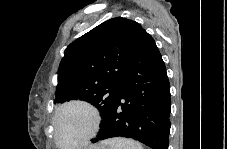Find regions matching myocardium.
<instances>
[{"mask_svg": "<svg viewBox=\"0 0 227 149\" xmlns=\"http://www.w3.org/2000/svg\"><path fill=\"white\" fill-rule=\"evenodd\" d=\"M75 106L83 107L89 111L92 118L91 128L89 132L80 141L72 144H62L58 138V119L63 111H65L70 107H75ZM100 124H101L100 112L93 104L79 99L67 101L57 108L52 119L54 142L57 146H64V147H81V146L87 145L89 141L92 138H94L95 135L97 134Z\"/></svg>", "mask_w": 227, "mask_h": 149, "instance_id": "obj_1", "label": "myocardium"}]
</instances>
